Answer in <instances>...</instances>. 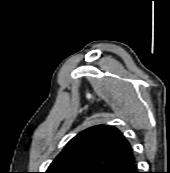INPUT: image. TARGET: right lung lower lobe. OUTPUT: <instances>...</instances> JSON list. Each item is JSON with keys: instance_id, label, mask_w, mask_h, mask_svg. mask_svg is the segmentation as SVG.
Instances as JSON below:
<instances>
[{"instance_id": "1", "label": "right lung lower lobe", "mask_w": 170, "mask_h": 173, "mask_svg": "<svg viewBox=\"0 0 170 173\" xmlns=\"http://www.w3.org/2000/svg\"><path fill=\"white\" fill-rule=\"evenodd\" d=\"M103 173H139L134 157L112 166Z\"/></svg>"}]
</instances>
